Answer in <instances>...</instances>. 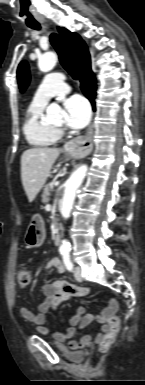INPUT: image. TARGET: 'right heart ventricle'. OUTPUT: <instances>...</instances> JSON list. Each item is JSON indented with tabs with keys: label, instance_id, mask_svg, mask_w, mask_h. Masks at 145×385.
<instances>
[{
	"label": "right heart ventricle",
	"instance_id": "right-heart-ventricle-1",
	"mask_svg": "<svg viewBox=\"0 0 145 385\" xmlns=\"http://www.w3.org/2000/svg\"><path fill=\"white\" fill-rule=\"evenodd\" d=\"M46 104L31 102L23 122V133L28 143L34 147L45 148L59 139V132L43 120Z\"/></svg>",
	"mask_w": 145,
	"mask_h": 385
}]
</instances>
